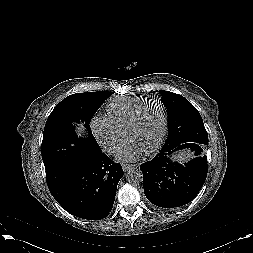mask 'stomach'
Returning <instances> with one entry per match:
<instances>
[{
	"instance_id": "1",
	"label": "stomach",
	"mask_w": 253,
	"mask_h": 253,
	"mask_svg": "<svg viewBox=\"0 0 253 253\" xmlns=\"http://www.w3.org/2000/svg\"><path fill=\"white\" fill-rule=\"evenodd\" d=\"M180 157H187V154L182 153V154L179 156V158H180Z\"/></svg>"
}]
</instances>
